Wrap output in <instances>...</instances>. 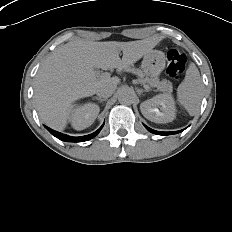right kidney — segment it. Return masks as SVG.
Segmentation results:
<instances>
[{"mask_svg":"<svg viewBox=\"0 0 232 232\" xmlns=\"http://www.w3.org/2000/svg\"><path fill=\"white\" fill-rule=\"evenodd\" d=\"M99 113V107L93 103H87L82 106H72L69 110V121L73 128L82 130L89 127L96 119Z\"/></svg>","mask_w":232,"mask_h":232,"instance_id":"obj_1","label":"right kidney"}]
</instances>
